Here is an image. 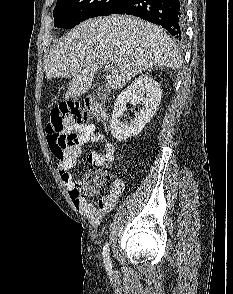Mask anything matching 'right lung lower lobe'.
I'll return each instance as SVG.
<instances>
[{
	"instance_id": "right-lung-lower-lobe-1",
	"label": "right lung lower lobe",
	"mask_w": 233,
	"mask_h": 294,
	"mask_svg": "<svg viewBox=\"0 0 233 294\" xmlns=\"http://www.w3.org/2000/svg\"><path fill=\"white\" fill-rule=\"evenodd\" d=\"M111 14H129L161 25L177 39L183 36V0H123Z\"/></svg>"
}]
</instances>
